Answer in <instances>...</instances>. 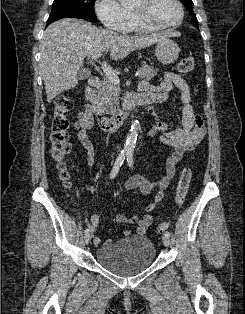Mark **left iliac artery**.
<instances>
[{"instance_id": "1", "label": "left iliac artery", "mask_w": 245, "mask_h": 314, "mask_svg": "<svg viewBox=\"0 0 245 314\" xmlns=\"http://www.w3.org/2000/svg\"><path fill=\"white\" fill-rule=\"evenodd\" d=\"M127 163H128L130 168L133 167V155L132 154H128L127 155ZM165 235L170 237V232L169 231H165Z\"/></svg>"}]
</instances>
